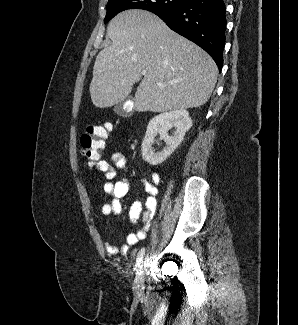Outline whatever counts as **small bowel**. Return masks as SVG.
Here are the masks:
<instances>
[{"instance_id": "obj_1", "label": "small bowel", "mask_w": 298, "mask_h": 325, "mask_svg": "<svg viewBox=\"0 0 298 325\" xmlns=\"http://www.w3.org/2000/svg\"><path fill=\"white\" fill-rule=\"evenodd\" d=\"M98 175L103 177L106 182L104 184V192L110 196L111 200L102 206V214L108 218L114 219L122 211V198L129 190V181L126 178H121L113 181L116 177V170H127V160L125 156L119 152H114L110 155L109 160H100L96 165ZM161 182V177L157 172L152 174L150 180L142 179L146 198L144 204L140 201H135L129 210V221L132 225L139 220L142 227L134 233H130L126 238V244L116 245L114 243H105V250L112 255L125 254L129 247L136 245L143 240L151 225L152 219L157 208L156 196L158 194V186Z\"/></svg>"}]
</instances>
